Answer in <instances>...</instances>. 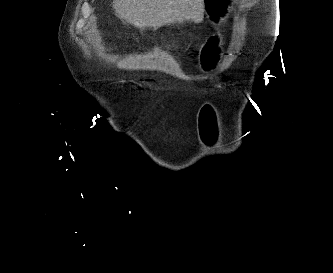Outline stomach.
Listing matches in <instances>:
<instances>
[{"label":"stomach","mask_w":333,"mask_h":273,"mask_svg":"<svg viewBox=\"0 0 333 273\" xmlns=\"http://www.w3.org/2000/svg\"><path fill=\"white\" fill-rule=\"evenodd\" d=\"M207 10L213 14V23H224L227 14H230L228 0H204ZM226 36L223 31H215L211 39H207V44L203 45V56H220L221 51H229V44H224ZM205 69H209L214 63H208L204 60Z\"/></svg>","instance_id":"stomach-1"}]
</instances>
